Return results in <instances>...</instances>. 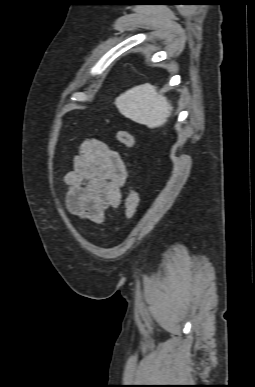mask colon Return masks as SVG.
I'll list each match as a JSON object with an SVG mask.
<instances>
[{
	"label": "colon",
	"mask_w": 255,
	"mask_h": 387,
	"mask_svg": "<svg viewBox=\"0 0 255 387\" xmlns=\"http://www.w3.org/2000/svg\"><path fill=\"white\" fill-rule=\"evenodd\" d=\"M116 137H117V140L128 149H132L136 144V140L134 136L126 130H119L117 132ZM138 205H139L138 193L133 188H131L125 200V218L127 220H130L134 217L137 211Z\"/></svg>",
	"instance_id": "5ec220e1"
}]
</instances>
